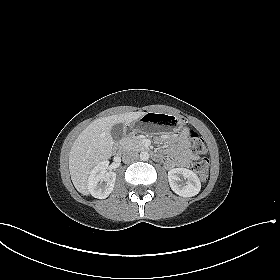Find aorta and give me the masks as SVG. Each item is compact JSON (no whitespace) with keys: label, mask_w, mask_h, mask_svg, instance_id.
<instances>
[{"label":"aorta","mask_w":280,"mask_h":280,"mask_svg":"<svg viewBox=\"0 0 280 280\" xmlns=\"http://www.w3.org/2000/svg\"><path fill=\"white\" fill-rule=\"evenodd\" d=\"M140 159L142 161H147L149 159V153L146 151H143L140 153Z\"/></svg>","instance_id":"obj_1"}]
</instances>
